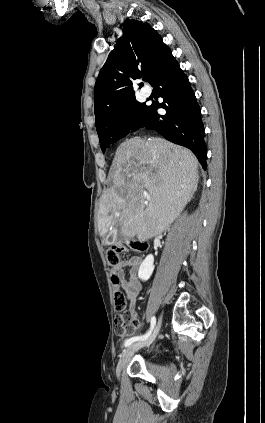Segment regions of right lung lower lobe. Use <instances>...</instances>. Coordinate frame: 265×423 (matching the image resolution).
Returning <instances> with one entry per match:
<instances>
[{
	"label": "right lung lower lobe",
	"instance_id": "obj_1",
	"mask_svg": "<svg viewBox=\"0 0 265 423\" xmlns=\"http://www.w3.org/2000/svg\"><path fill=\"white\" fill-rule=\"evenodd\" d=\"M152 85L163 98L160 105L149 106L144 119L133 129L141 127L156 130L167 140L189 148L206 169V145L201 113L188 78L175 58L154 79ZM164 108V116L157 114Z\"/></svg>",
	"mask_w": 265,
	"mask_h": 423
}]
</instances>
